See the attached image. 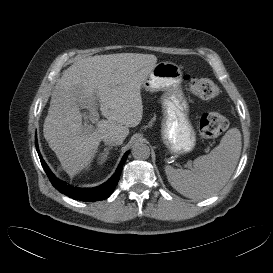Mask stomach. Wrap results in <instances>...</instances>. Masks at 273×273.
<instances>
[{
	"label": "stomach",
	"instance_id": "obj_1",
	"mask_svg": "<svg viewBox=\"0 0 273 273\" xmlns=\"http://www.w3.org/2000/svg\"><path fill=\"white\" fill-rule=\"evenodd\" d=\"M182 71L173 62H159L142 83L149 92L162 91V141L175 154L193 150L196 133L188 118L189 105L181 88Z\"/></svg>",
	"mask_w": 273,
	"mask_h": 273
}]
</instances>
